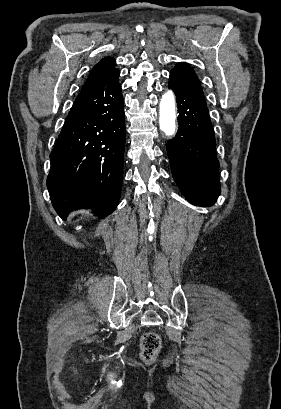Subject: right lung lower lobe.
Listing matches in <instances>:
<instances>
[{
  "label": "right lung lower lobe",
  "instance_id": "98d812e1",
  "mask_svg": "<svg viewBox=\"0 0 281 409\" xmlns=\"http://www.w3.org/2000/svg\"><path fill=\"white\" fill-rule=\"evenodd\" d=\"M119 74L77 96L50 154L47 187L62 219L83 207L104 218L118 205L126 136Z\"/></svg>",
  "mask_w": 281,
  "mask_h": 409
}]
</instances>
